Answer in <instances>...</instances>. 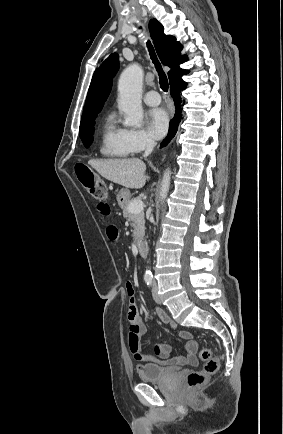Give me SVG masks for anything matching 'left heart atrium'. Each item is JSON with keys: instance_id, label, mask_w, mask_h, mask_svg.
Wrapping results in <instances>:
<instances>
[{"instance_id": "1", "label": "left heart atrium", "mask_w": 283, "mask_h": 434, "mask_svg": "<svg viewBox=\"0 0 283 434\" xmlns=\"http://www.w3.org/2000/svg\"><path fill=\"white\" fill-rule=\"evenodd\" d=\"M169 119L167 113L161 109H152L148 114V129L154 138H161L168 129Z\"/></svg>"}]
</instances>
